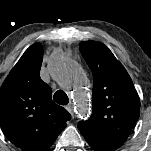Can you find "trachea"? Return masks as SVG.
Masks as SVG:
<instances>
[{
	"label": "trachea",
	"instance_id": "obj_1",
	"mask_svg": "<svg viewBox=\"0 0 151 151\" xmlns=\"http://www.w3.org/2000/svg\"><path fill=\"white\" fill-rule=\"evenodd\" d=\"M53 99L59 105H67L69 103L67 94L62 90L56 91L53 95Z\"/></svg>",
	"mask_w": 151,
	"mask_h": 151
}]
</instances>
